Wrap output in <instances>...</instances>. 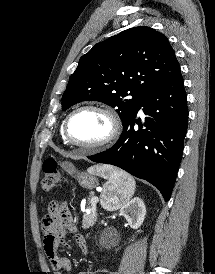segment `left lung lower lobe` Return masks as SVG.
<instances>
[{"label": "left lung lower lobe", "instance_id": "1", "mask_svg": "<svg viewBox=\"0 0 215 274\" xmlns=\"http://www.w3.org/2000/svg\"><path fill=\"white\" fill-rule=\"evenodd\" d=\"M141 107L146 115L143 122L136 119ZM187 121L186 92L179 70L144 96L123 122V133L112 148L88 158L115 165L152 183L169 201L182 158Z\"/></svg>", "mask_w": 215, "mask_h": 274}]
</instances>
